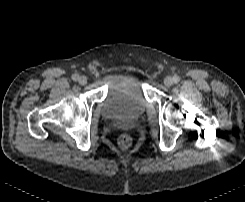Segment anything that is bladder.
Masks as SVG:
<instances>
[{
  "label": "bladder",
  "mask_w": 245,
  "mask_h": 202,
  "mask_svg": "<svg viewBox=\"0 0 245 202\" xmlns=\"http://www.w3.org/2000/svg\"><path fill=\"white\" fill-rule=\"evenodd\" d=\"M143 81L135 72H113L107 76V94L102 116L108 121L136 119L147 109Z\"/></svg>",
  "instance_id": "obj_1"
}]
</instances>
